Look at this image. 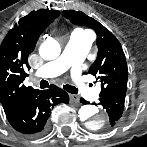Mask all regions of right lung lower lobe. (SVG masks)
<instances>
[{"instance_id": "98d812e1", "label": "right lung lower lobe", "mask_w": 147, "mask_h": 147, "mask_svg": "<svg viewBox=\"0 0 147 147\" xmlns=\"http://www.w3.org/2000/svg\"><path fill=\"white\" fill-rule=\"evenodd\" d=\"M59 103H69L68 94L55 85L39 91L26 105L7 115L11 126L18 132L37 136L46 129V122L53 107Z\"/></svg>"}]
</instances>
